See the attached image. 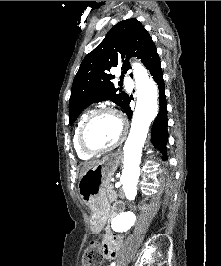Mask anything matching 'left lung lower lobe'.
<instances>
[{"label":"left lung lower lobe","mask_w":221,"mask_h":266,"mask_svg":"<svg viewBox=\"0 0 221 266\" xmlns=\"http://www.w3.org/2000/svg\"><path fill=\"white\" fill-rule=\"evenodd\" d=\"M153 79L158 85L159 89V113L152 125L151 129V140L156 148H158L164 155L166 154V143L168 141V131H167V102L165 96V85L163 80L162 69L160 61L152 67L150 70ZM130 98L128 99L126 106L124 108L125 113L128 115L129 119L132 117V111L129 107ZM165 160V157H163Z\"/></svg>","instance_id":"obj_1"}]
</instances>
